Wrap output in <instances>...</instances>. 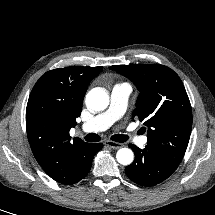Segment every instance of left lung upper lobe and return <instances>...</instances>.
<instances>
[{"label": "left lung upper lobe", "mask_w": 215, "mask_h": 215, "mask_svg": "<svg viewBox=\"0 0 215 215\" xmlns=\"http://www.w3.org/2000/svg\"><path fill=\"white\" fill-rule=\"evenodd\" d=\"M139 90L133 118L148 128L147 145L180 164L192 128L191 104L179 76L160 64L114 65L110 67Z\"/></svg>", "instance_id": "5c2ea615"}]
</instances>
